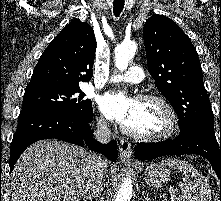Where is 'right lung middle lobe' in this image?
<instances>
[{
    "label": "right lung middle lobe",
    "instance_id": "right-lung-middle-lobe-1",
    "mask_svg": "<svg viewBox=\"0 0 221 201\" xmlns=\"http://www.w3.org/2000/svg\"><path fill=\"white\" fill-rule=\"evenodd\" d=\"M84 96L80 88L29 87L24 93L22 110L42 108L89 118L93 114L92 102L84 100Z\"/></svg>",
    "mask_w": 221,
    "mask_h": 201
}]
</instances>
